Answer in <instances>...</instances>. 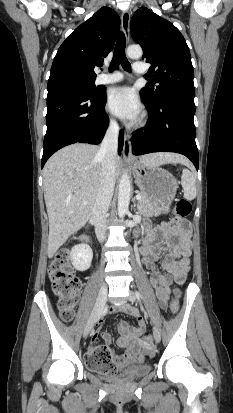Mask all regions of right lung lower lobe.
Wrapping results in <instances>:
<instances>
[{"label": "right lung lower lobe", "instance_id": "98d812e1", "mask_svg": "<svg viewBox=\"0 0 233 413\" xmlns=\"http://www.w3.org/2000/svg\"><path fill=\"white\" fill-rule=\"evenodd\" d=\"M105 104V92L100 98L94 99L75 89L48 91L47 132L41 167L54 152L64 146L76 142L100 143L108 125ZM123 142V132L120 131L119 151L123 148Z\"/></svg>", "mask_w": 233, "mask_h": 413}]
</instances>
